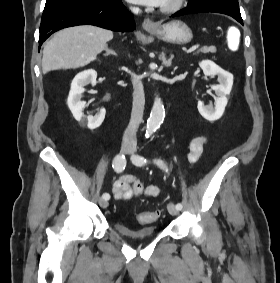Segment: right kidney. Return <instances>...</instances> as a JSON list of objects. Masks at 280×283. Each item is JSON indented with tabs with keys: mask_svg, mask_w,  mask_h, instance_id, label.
I'll return each instance as SVG.
<instances>
[{
	"mask_svg": "<svg viewBox=\"0 0 280 283\" xmlns=\"http://www.w3.org/2000/svg\"><path fill=\"white\" fill-rule=\"evenodd\" d=\"M96 78L97 72L93 69L78 73L71 83V89L67 100L68 107L80 126L88 127L91 130L98 128L103 123L106 114L104 108L100 109L99 113L95 116H87L83 112V109L86 106V102L81 101L82 93L85 90L84 86L89 83L94 86L96 84Z\"/></svg>",
	"mask_w": 280,
	"mask_h": 283,
	"instance_id": "1",
	"label": "right kidney"
}]
</instances>
